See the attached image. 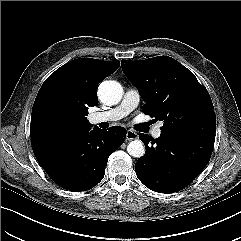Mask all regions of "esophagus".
I'll use <instances>...</instances> for the list:
<instances>
[{"instance_id":"34e87169","label":"esophagus","mask_w":241,"mask_h":241,"mask_svg":"<svg viewBox=\"0 0 241 241\" xmlns=\"http://www.w3.org/2000/svg\"><path fill=\"white\" fill-rule=\"evenodd\" d=\"M138 138V134L133 130H127L126 139L131 141Z\"/></svg>"}]
</instances>
